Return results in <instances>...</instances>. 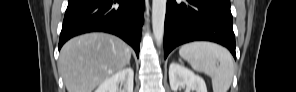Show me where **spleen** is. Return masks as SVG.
Returning <instances> with one entry per match:
<instances>
[{"label": "spleen", "mask_w": 296, "mask_h": 92, "mask_svg": "<svg viewBox=\"0 0 296 92\" xmlns=\"http://www.w3.org/2000/svg\"><path fill=\"white\" fill-rule=\"evenodd\" d=\"M180 56L189 61L192 68L209 75L213 92H227L233 79V59L224 47L211 42L196 41L184 44Z\"/></svg>", "instance_id": "spleen-1"}]
</instances>
